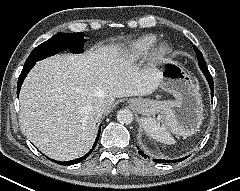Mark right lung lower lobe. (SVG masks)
<instances>
[{"label":"right lung lower lobe","instance_id":"1","mask_svg":"<svg viewBox=\"0 0 240 191\" xmlns=\"http://www.w3.org/2000/svg\"><path fill=\"white\" fill-rule=\"evenodd\" d=\"M35 64H29V65H24L23 67V70L19 76V79H18V83H17V96L19 95V92H20V88H21V85L23 83V80L25 79L26 75L28 74V72L31 70V68L34 66ZM100 131L101 129L99 128V134L95 140V143L92 147V149L86 154L84 155L83 157L81 158H78V159H75V160H71V161H57L59 164H62V165H73V164H77L79 162H81L82 160L86 159L90 154L91 152L93 151V149L95 148V146L97 145V142H98V139H99V136H100Z\"/></svg>","mask_w":240,"mask_h":191}]
</instances>
